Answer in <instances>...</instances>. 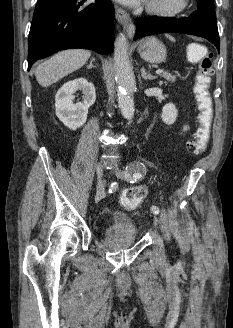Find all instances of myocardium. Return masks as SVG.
<instances>
[{"label": "myocardium", "mask_w": 233, "mask_h": 328, "mask_svg": "<svg viewBox=\"0 0 233 328\" xmlns=\"http://www.w3.org/2000/svg\"><path fill=\"white\" fill-rule=\"evenodd\" d=\"M189 7V0H176L172 5H160L150 0L147 11L161 17H177L182 15Z\"/></svg>", "instance_id": "obj_1"}]
</instances>
